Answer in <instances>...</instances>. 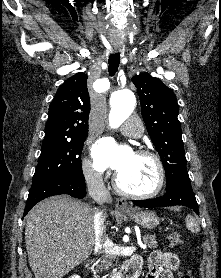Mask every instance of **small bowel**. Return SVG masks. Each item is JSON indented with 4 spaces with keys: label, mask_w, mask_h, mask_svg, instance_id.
<instances>
[{
    "label": "small bowel",
    "mask_w": 221,
    "mask_h": 278,
    "mask_svg": "<svg viewBox=\"0 0 221 278\" xmlns=\"http://www.w3.org/2000/svg\"><path fill=\"white\" fill-rule=\"evenodd\" d=\"M141 266L139 261H136ZM181 268L178 256L172 252H153L148 259L147 278H174V272Z\"/></svg>",
    "instance_id": "c3829d8e"
}]
</instances>
